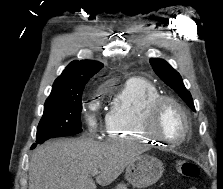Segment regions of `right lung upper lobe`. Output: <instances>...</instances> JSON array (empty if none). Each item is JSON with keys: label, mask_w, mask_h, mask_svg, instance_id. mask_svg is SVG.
I'll return each instance as SVG.
<instances>
[{"label": "right lung upper lobe", "mask_w": 223, "mask_h": 189, "mask_svg": "<svg viewBox=\"0 0 223 189\" xmlns=\"http://www.w3.org/2000/svg\"><path fill=\"white\" fill-rule=\"evenodd\" d=\"M102 68L103 64L98 61H72L55 80L50 95H71L83 90L89 79Z\"/></svg>", "instance_id": "right-lung-upper-lobe-1"}]
</instances>
